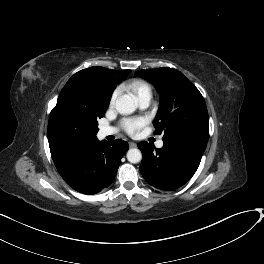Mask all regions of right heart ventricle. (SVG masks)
Wrapping results in <instances>:
<instances>
[{
    "label": "right heart ventricle",
    "instance_id": "obj_1",
    "mask_svg": "<svg viewBox=\"0 0 264 264\" xmlns=\"http://www.w3.org/2000/svg\"><path fill=\"white\" fill-rule=\"evenodd\" d=\"M127 87L134 92L137 98L149 95L152 96L151 86L143 80H134L130 82Z\"/></svg>",
    "mask_w": 264,
    "mask_h": 264
}]
</instances>
